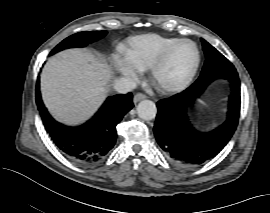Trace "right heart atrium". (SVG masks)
<instances>
[{"label": "right heart atrium", "mask_w": 270, "mask_h": 213, "mask_svg": "<svg viewBox=\"0 0 270 213\" xmlns=\"http://www.w3.org/2000/svg\"><path fill=\"white\" fill-rule=\"evenodd\" d=\"M119 68L121 72L131 78L137 77V71L127 65L124 61L119 62Z\"/></svg>", "instance_id": "d8ad5b80"}]
</instances>
